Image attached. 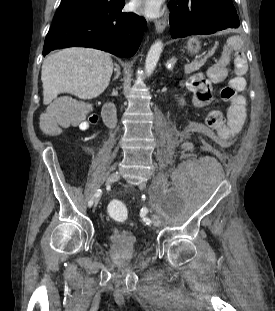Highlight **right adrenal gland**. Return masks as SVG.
I'll list each match as a JSON object with an SVG mask.
<instances>
[{
    "mask_svg": "<svg viewBox=\"0 0 275 311\" xmlns=\"http://www.w3.org/2000/svg\"><path fill=\"white\" fill-rule=\"evenodd\" d=\"M114 72H115V77L113 78V81L118 79L120 76V69L116 63L114 64Z\"/></svg>",
    "mask_w": 275,
    "mask_h": 311,
    "instance_id": "right-adrenal-gland-1",
    "label": "right adrenal gland"
}]
</instances>
